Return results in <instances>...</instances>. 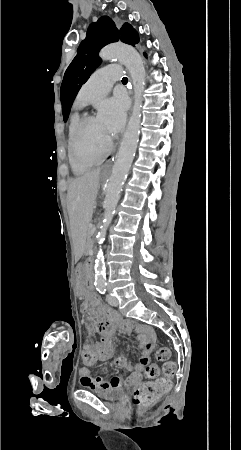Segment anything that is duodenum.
<instances>
[{"label": "duodenum", "mask_w": 241, "mask_h": 450, "mask_svg": "<svg viewBox=\"0 0 241 450\" xmlns=\"http://www.w3.org/2000/svg\"><path fill=\"white\" fill-rule=\"evenodd\" d=\"M86 268V289L91 292L94 287V274H93V259H88L85 263Z\"/></svg>", "instance_id": "1"}]
</instances>
